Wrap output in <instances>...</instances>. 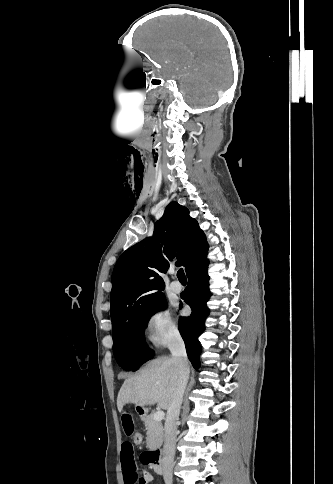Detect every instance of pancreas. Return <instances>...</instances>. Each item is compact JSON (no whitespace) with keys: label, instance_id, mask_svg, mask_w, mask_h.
Here are the masks:
<instances>
[{"label":"pancreas","instance_id":"1","mask_svg":"<svg viewBox=\"0 0 333 484\" xmlns=\"http://www.w3.org/2000/svg\"><path fill=\"white\" fill-rule=\"evenodd\" d=\"M146 428V444L150 450H155L162 445L163 442V426L160 421H155L153 414L147 415L144 418Z\"/></svg>","mask_w":333,"mask_h":484}]
</instances>
